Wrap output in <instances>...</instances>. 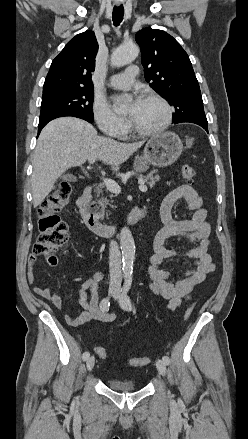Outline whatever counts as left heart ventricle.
I'll use <instances>...</instances> for the list:
<instances>
[{
	"mask_svg": "<svg viewBox=\"0 0 248 439\" xmlns=\"http://www.w3.org/2000/svg\"><path fill=\"white\" fill-rule=\"evenodd\" d=\"M127 114L139 128L144 130L158 127L166 116L165 109L159 102L148 99H143L137 107L130 106Z\"/></svg>",
	"mask_w": 248,
	"mask_h": 439,
	"instance_id": "left-heart-ventricle-1",
	"label": "left heart ventricle"
}]
</instances>
